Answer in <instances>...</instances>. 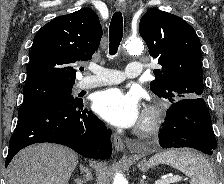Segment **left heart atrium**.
<instances>
[{
	"label": "left heart atrium",
	"instance_id": "1",
	"mask_svg": "<svg viewBox=\"0 0 224 184\" xmlns=\"http://www.w3.org/2000/svg\"><path fill=\"white\" fill-rule=\"evenodd\" d=\"M93 108L104 120L117 127H132L140 117L139 97L116 88L97 93Z\"/></svg>",
	"mask_w": 224,
	"mask_h": 184
}]
</instances>
